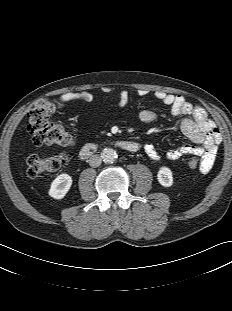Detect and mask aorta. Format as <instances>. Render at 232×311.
<instances>
[{
	"mask_svg": "<svg viewBox=\"0 0 232 311\" xmlns=\"http://www.w3.org/2000/svg\"><path fill=\"white\" fill-rule=\"evenodd\" d=\"M101 158L105 163H113L117 158V153L112 148H105L102 150Z\"/></svg>",
	"mask_w": 232,
	"mask_h": 311,
	"instance_id": "762f6f07",
	"label": "aorta"
}]
</instances>
